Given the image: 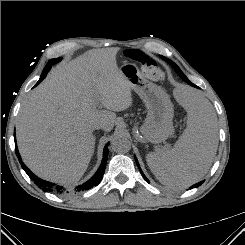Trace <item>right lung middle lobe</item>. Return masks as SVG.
Here are the masks:
<instances>
[{
	"label": "right lung middle lobe",
	"instance_id": "right-lung-middle-lobe-1",
	"mask_svg": "<svg viewBox=\"0 0 245 245\" xmlns=\"http://www.w3.org/2000/svg\"><path fill=\"white\" fill-rule=\"evenodd\" d=\"M59 61H61V58L51 59L49 62L55 64L58 63Z\"/></svg>",
	"mask_w": 245,
	"mask_h": 245
}]
</instances>
